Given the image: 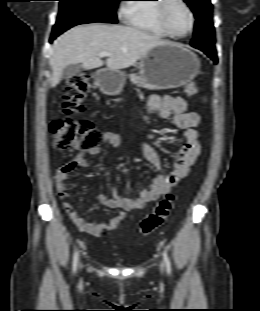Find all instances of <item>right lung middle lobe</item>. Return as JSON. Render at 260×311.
<instances>
[{"instance_id":"obj_1","label":"right lung middle lobe","mask_w":260,"mask_h":311,"mask_svg":"<svg viewBox=\"0 0 260 311\" xmlns=\"http://www.w3.org/2000/svg\"><path fill=\"white\" fill-rule=\"evenodd\" d=\"M56 26L92 22L117 23L115 10L121 0H59Z\"/></svg>"}]
</instances>
